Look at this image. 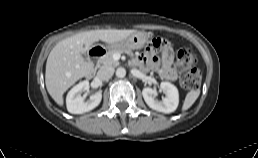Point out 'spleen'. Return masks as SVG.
I'll list each match as a JSON object with an SVG mask.
<instances>
[{"mask_svg":"<svg viewBox=\"0 0 258 158\" xmlns=\"http://www.w3.org/2000/svg\"><path fill=\"white\" fill-rule=\"evenodd\" d=\"M200 95V90L199 89H195V90H191L187 93L183 106H182V110L185 111L187 109H189L194 102L197 100V98Z\"/></svg>","mask_w":258,"mask_h":158,"instance_id":"3e777b00","label":"spleen"}]
</instances>
